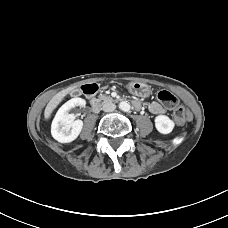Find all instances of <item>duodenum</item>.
I'll list each match as a JSON object with an SVG mask.
<instances>
[{
    "instance_id": "410a0bca",
    "label": "duodenum",
    "mask_w": 228,
    "mask_h": 228,
    "mask_svg": "<svg viewBox=\"0 0 228 228\" xmlns=\"http://www.w3.org/2000/svg\"><path fill=\"white\" fill-rule=\"evenodd\" d=\"M84 95L90 100L93 110H98L100 106V100L96 97L98 87L96 84H88L82 87Z\"/></svg>"
}]
</instances>
